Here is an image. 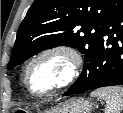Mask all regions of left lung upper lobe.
Returning a JSON list of instances; mask_svg holds the SVG:
<instances>
[{"instance_id": "left-lung-upper-lobe-1", "label": "left lung upper lobe", "mask_w": 123, "mask_h": 113, "mask_svg": "<svg viewBox=\"0 0 123 113\" xmlns=\"http://www.w3.org/2000/svg\"><path fill=\"white\" fill-rule=\"evenodd\" d=\"M111 1L35 0L18 29L7 69L42 50L66 45L84 54L80 81L101 39Z\"/></svg>"}]
</instances>
